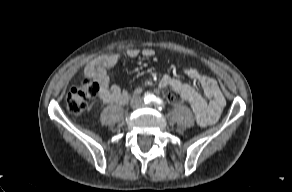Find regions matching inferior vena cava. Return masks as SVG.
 <instances>
[{
	"label": "inferior vena cava",
	"instance_id": "602c4592",
	"mask_svg": "<svg viewBox=\"0 0 292 192\" xmlns=\"http://www.w3.org/2000/svg\"><path fill=\"white\" fill-rule=\"evenodd\" d=\"M138 101H141V99L133 98V99L131 100V106H132V107H136Z\"/></svg>",
	"mask_w": 292,
	"mask_h": 192
}]
</instances>
